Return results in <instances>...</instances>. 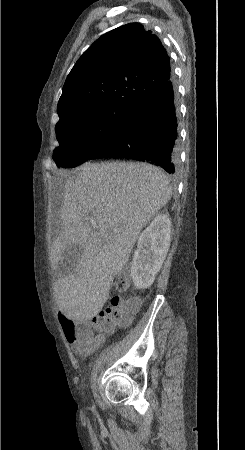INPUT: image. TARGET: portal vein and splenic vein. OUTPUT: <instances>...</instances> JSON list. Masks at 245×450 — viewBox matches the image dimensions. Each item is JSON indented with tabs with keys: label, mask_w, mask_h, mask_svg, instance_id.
I'll return each instance as SVG.
<instances>
[{
	"label": "portal vein and splenic vein",
	"mask_w": 245,
	"mask_h": 450,
	"mask_svg": "<svg viewBox=\"0 0 245 450\" xmlns=\"http://www.w3.org/2000/svg\"><path fill=\"white\" fill-rule=\"evenodd\" d=\"M93 227H94L95 229H98V227H97L96 224H93ZM119 231H120L119 228H114V229H113V232H114V233H117V232H119Z\"/></svg>",
	"instance_id": "1"
}]
</instances>
